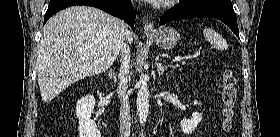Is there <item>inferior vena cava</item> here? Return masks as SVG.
Instances as JSON below:
<instances>
[{
  "mask_svg": "<svg viewBox=\"0 0 280 137\" xmlns=\"http://www.w3.org/2000/svg\"><path fill=\"white\" fill-rule=\"evenodd\" d=\"M126 27V26H125ZM126 34L129 36L130 31L126 27ZM127 39V38H126ZM128 40V39H127ZM121 67L118 76L119 86L118 92L121 94V108H120V136H130L131 116H130V105L128 102V95L126 93L128 88V74H129V63H130V49L129 46L123 42L121 46Z\"/></svg>",
  "mask_w": 280,
  "mask_h": 137,
  "instance_id": "602c4592",
  "label": "inferior vena cava"
}]
</instances>
